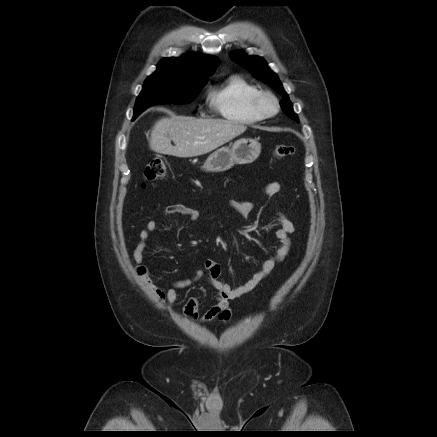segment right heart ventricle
I'll list each match as a JSON object with an SVG mask.
<instances>
[{
	"instance_id": "e07e8e85",
	"label": "right heart ventricle",
	"mask_w": 437,
	"mask_h": 437,
	"mask_svg": "<svg viewBox=\"0 0 437 437\" xmlns=\"http://www.w3.org/2000/svg\"><path fill=\"white\" fill-rule=\"evenodd\" d=\"M258 92L257 86L241 76L233 75L210 89V106L228 121L255 124L263 120L252 107L253 97Z\"/></svg>"
}]
</instances>
